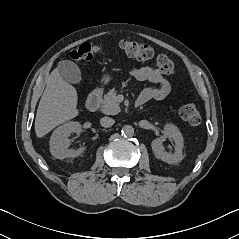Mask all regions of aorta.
Here are the masks:
<instances>
[{
    "label": "aorta",
    "mask_w": 239,
    "mask_h": 239,
    "mask_svg": "<svg viewBox=\"0 0 239 239\" xmlns=\"http://www.w3.org/2000/svg\"><path fill=\"white\" fill-rule=\"evenodd\" d=\"M121 132L125 137H132L134 135V128L131 125H125Z\"/></svg>",
    "instance_id": "1"
}]
</instances>
